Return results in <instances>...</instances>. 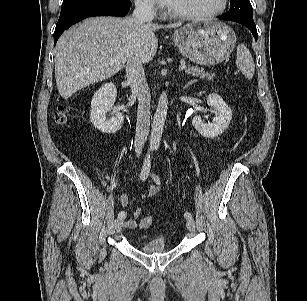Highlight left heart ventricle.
I'll return each mask as SVG.
<instances>
[{
    "label": "left heart ventricle",
    "mask_w": 307,
    "mask_h": 301,
    "mask_svg": "<svg viewBox=\"0 0 307 301\" xmlns=\"http://www.w3.org/2000/svg\"><path fill=\"white\" fill-rule=\"evenodd\" d=\"M222 0H173L169 9L179 13H205L217 9Z\"/></svg>",
    "instance_id": "obj_1"
}]
</instances>
